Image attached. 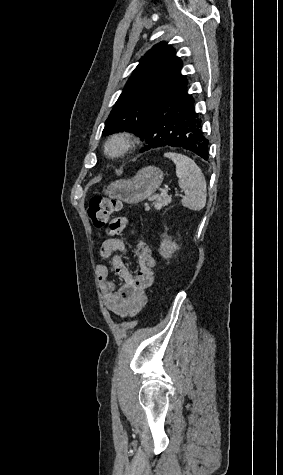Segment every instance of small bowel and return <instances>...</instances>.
Segmentation results:
<instances>
[{"label":"small bowel","mask_w":283,"mask_h":475,"mask_svg":"<svg viewBox=\"0 0 283 475\" xmlns=\"http://www.w3.org/2000/svg\"><path fill=\"white\" fill-rule=\"evenodd\" d=\"M128 225L126 217L115 218L111 223L103 224V231L107 239L100 247V256L103 259H109L114 272L123 280V285L116 288L115 284L109 279L108 267L106 264L96 265V278L102 293L104 305L107 310L114 313L121 319H129L138 315L147 303L146 290L149 288L156 277L150 276L149 283H143L141 288H134L132 285L133 277L121 257L117 254L126 250L125 243L116 237Z\"/></svg>","instance_id":"obj_1"}]
</instances>
